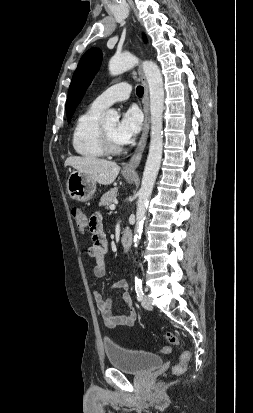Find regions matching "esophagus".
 Returning <instances> with one entry per match:
<instances>
[{
	"label": "esophagus",
	"mask_w": 253,
	"mask_h": 413,
	"mask_svg": "<svg viewBox=\"0 0 253 413\" xmlns=\"http://www.w3.org/2000/svg\"><path fill=\"white\" fill-rule=\"evenodd\" d=\"M139 75H140L141 81L144 86V96H143L142 102H143V111L145 115V120L143 124L141 138L138 142V145L134 153L132 154L130 160L124 165L122 169L123 173H127V174L136 173V169L141 162L142 155L146 147L149 127H150L149 87H148L147 80L141 68L139 69Z\"/></svg>",
	"instance_id": "1"
}]
</instances>
